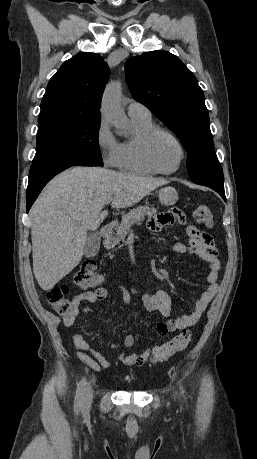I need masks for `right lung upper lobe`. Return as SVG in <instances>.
Returning a JSON list of instances; mask_svg holds the SVG:
<instances>
[{
	"instance_id": "cb5924a9",
	"label": "right lung upper lobe",
	"mask_w": 257,
	"mask_h": 459,
	"mask_svg": "<svg viewBox=\"0 0 257 459\" xmlns=\"http://www.w3.org/2000/svg\"><path fill=\"white\" fill-rule=\"evenodd\" d=\"M110 75L104 59L95 53H79L65 61L50 79L41 111L67 112L100 118L99 104Z\"/></svg>"
}]
</instances>
